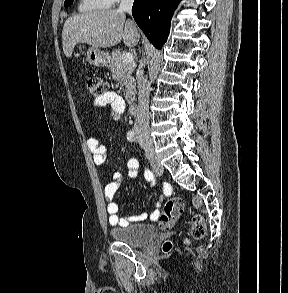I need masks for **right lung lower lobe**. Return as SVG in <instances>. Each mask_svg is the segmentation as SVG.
Returning <instances> with one entry per match:
<instances>
[{"label": "right lung lower lobe", "instance_id": "1", "mask_svg": "<svg viewBox=\"0 0 288 293\" xmlns=\"http://www.w3.org/2000/svg\"><path fill=\"white\" fill-rule=\"evenodd\" d=\"M180 0H135L132 15L150 42L161 49L167 41L172 14Z\"/></svg>", "mask_w": 288, "mask_h": 293}]
</instances>
